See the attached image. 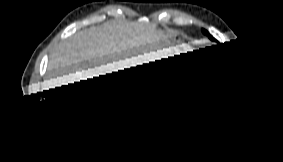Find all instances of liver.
I'll return each instance as SVG.
<instances>
[{"label": "liver", "instance_id": "1", "mask_svg": "<svg viewBox=\"0 0 283 162\" xmlns=\"http://www.w3.org/2000/svg\"><path fill=\"white\" fill-rule=\"evenodd\" d=\"M156 28L145 18L113 20L59 42L50 54L47 89L121 71L117 77L99 78L91 84L103 85L128 77L134 67L156 65L162 57Z\"/></svg>", "mask_w": 283, "mask_h": 162}]
</instances>
